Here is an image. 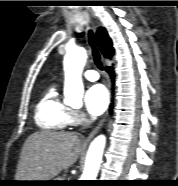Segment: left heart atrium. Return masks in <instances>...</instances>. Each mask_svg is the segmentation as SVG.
<instances>
[{
	"label": "left heart atrium",
	"mask_w": 178,
	"mask_h": 186,
	"mask_svg": "<svg viewBox=\"0 0 178 186\" xmlns=\"http://www.w3.org/2000/svg\"><path fill=\"white\" fill-rule=\"evenodd\" d=\"M84 100L88 113L92 116H99L108 107L109 94L103 85L95 84L86 91Z\"/></svg>",
	"instance_id": "39dd6f15"
}]
</instances>
